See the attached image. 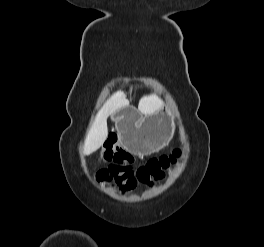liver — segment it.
Masks as SVG:
<instances>
[{"label":"liver","instance_id":"6515ba94","mask_svg":"<svg viewBox=\"0 0 264 247\" xmlns=\"http://www.w3.org/2000/svg\"><path fill=\"white\" fill-rule=\"evenodd\" d=\"M162 100L156 95L146 96L141 98L138 109L143 114H153L159 111L162 107ZM129 106V101L123 92L115 93L101 108L96 116L95 122L89 129L85 142L83 153L89 155L98 150L105 142L108 129L107 117L115 111Z\"/></svg>","mask_w":264,"mask_h":247}]
</instances>
